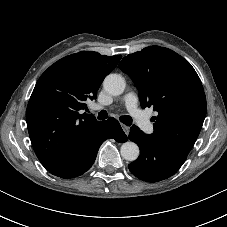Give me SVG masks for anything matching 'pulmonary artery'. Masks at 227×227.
<instances>
[{"label": "pulmonary artery", "mask_w": 227, "mask_h": 227, "mask_svg": "<svg viewBox=\"0 0 227 227\" xmlns=\"http://www.w3.org/2000/svg\"><path fill=\"white\" fill-rule=\"evenodd\" d=\"M129 113L137 120L139 126L146 133H151L153 126L151 122L146 118L144 113L138 108V97L134 92H128L122 99ZM102 108L97 106V109Z\"/></svg>", "instance_id": "e3ab8cb5"}]
</instances>
